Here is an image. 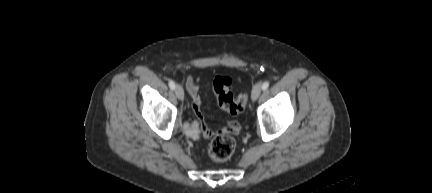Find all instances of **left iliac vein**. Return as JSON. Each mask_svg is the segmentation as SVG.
I'll return each mask as SVG.
<instances>
[{
  "label": "left iliac vein",
  "mask_w": 432,
  "mask_h": 193,
  "mask_svg": "<svg viewBox=\"0 0 432 193\" xmlns=\"http://www.w3.org/2000/svg\"><path fill=\"white\" fill-rule=\"evenodd\" d=\"M261 92H262L261 83L255 84L253 87V90H252V95H251L252 100L256 101L259 98Z\"/></svg>",
  "instance_id": "4c4485c4"
}]
</instances>
